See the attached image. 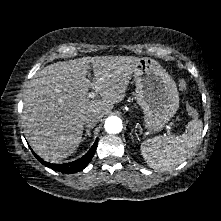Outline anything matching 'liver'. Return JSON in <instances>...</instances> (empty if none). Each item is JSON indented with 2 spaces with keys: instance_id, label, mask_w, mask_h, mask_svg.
Instances as JSON below:
<instances>
[{
  "instance_id": "liver-1",
  "label": "liver",
  "mask_w": 221,
  "mask_h": 221,
  "mask_svg": "<svg viewBox=\"0 0 221 221\" xmlns=\"http://www.w3.org/2000/svg\"><path fill=\"white\" fill-rule=\"evenodd\" d=\"M138 61L133 56L83 57L38 71L23 102L22 125L31 148L52 162L75 152L83 135V117L95 114L100 119L124 99ZM89 88L101 99H89Z\"/></svg>"
}]
</instances>
